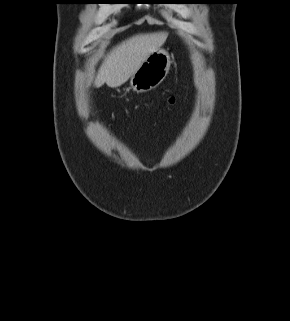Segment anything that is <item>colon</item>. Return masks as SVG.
Instances as JSON below:
<instances>
[{"label":"colon","mask_w":290,"mask_h":321,"mask_svg":"<svg viewBox=\"0 0 290 321\" xmlns=\"http://www.w3.org/2000/svg\"><path fill=\"white\" fill-rule=\"evenodd\" d=\"M174 101H175V95L172 94V93L168 94V96H167V102H168V103H173Z\"/></svg>","instance_id":"colon-1"}]
</instances>
